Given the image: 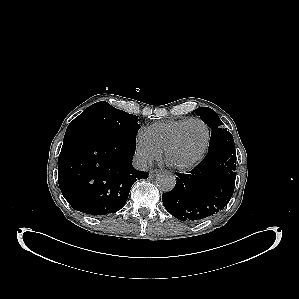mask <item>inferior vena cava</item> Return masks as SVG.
<instances>
[{
    "label": "inferior vena cava",
    "mask_w": 299,
    "mask_h": 299,
    "mask_svg": "<svg viewBox=\"0 0 299 299\" xmlns=\"http://www.w3.org/2000/svg\"><path fill=\"white\" fill-rule=\"evenodd\" d=\"M150 161L143 156L133 158V166L137 170L145 171L150 166Z\"/></svg>",
    "instance_id": "1"
}]
</instances>
